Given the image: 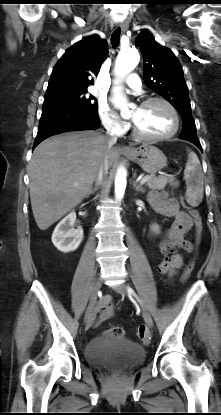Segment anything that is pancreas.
I'll list each match as a JSON object with an SVG mask.
<instances>
[{
    "label": "pancreas",
    "instance_id": "obj_1",
    "mask_svg": "<svg viewBox=\"0 0 221 415\" xmlns=\"http://www.w3.org/2000/svg\"><path fill=\"white\" fill-rule=\"evenodd\" d=\"M167 183H174V179L166 176H149L146 186L152 190H163Z\"/></svg>",
    "mask_w": 221,
    "mask_h": 415
}]
</instances>
